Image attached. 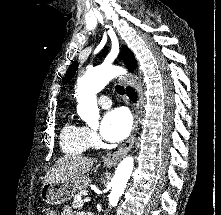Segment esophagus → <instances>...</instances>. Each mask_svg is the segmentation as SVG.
Listing matches in <instances>:
<instances>
[{
	"label": "esophagus",
	"instance_id": "obj_1",
	"mask_svg": "<svg viewBox=\"0 0 221 215\" xmlns=\"http://www.w3.org/2000/svg\"><path fill=\"white\" fill-rule=\"evenodd\" d=\"M118 80L124 87L126 86V79L124 76H119ZM132 112H133V117H134V123H133L132 131L127 141L119 148V150L113 153H108L106 156L103 157V163L104 165L108 167L115 166L130 151V149L132 148L134 144L136 132L138 128V117H139L137 107L133 106Z\"/></svg>",
	"mask_w": 221,
	"mask_h": 215
}]
</instances>
